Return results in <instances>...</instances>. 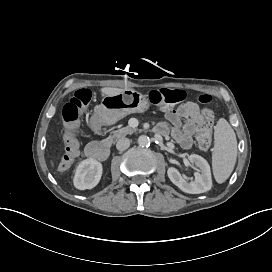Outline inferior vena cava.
<instances>
[{"label": "inferior vena cava", "mask_w": 272, "mask_h": 272, "mask_svg": "<svg viewBox=\"0 0 272 272\" xmlns=\"http://www.w3.org/2000/svg\"><path fill=\"white\" fill-rule=\"evenodd\" d=\"M130 146V141L128 138H120L117 141L116 148L120 151L126 150Z\"/></svg>", "instance_id": "602c4592"}]
</instances>
